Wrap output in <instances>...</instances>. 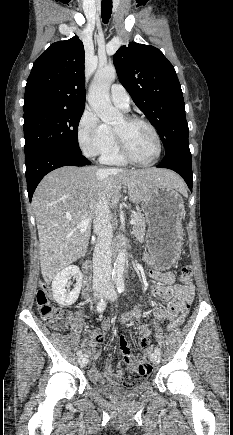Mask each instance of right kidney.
<instances>
[{
  "label": "right kidney",
  "mask_w": 233,
  "mask_h": 435,
  "mask_svg": "<svg viewBox=\"0 0 233 435\" xmlns=\"http://www.w3.org/2000/svg\"><path fill=\"white\" fill-rule=\"evenodd\" d=\"M76 277V285L73 290L67 291L69 279ZM82 273L77 266H68L59 272L52 281V291L55 301L62 306H70L76 302L82 287Z\"/></svg>",
  "instance_id": "ca27d5eb"
}]
</instances>
